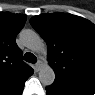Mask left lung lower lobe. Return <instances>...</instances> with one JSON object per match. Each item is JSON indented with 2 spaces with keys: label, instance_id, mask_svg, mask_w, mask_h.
<instances>
[{
  "label": "left lung lower lobe",
  "instance_id": "1",
  "mask_svg": "<svg viewBox=\"0 0 95 95\" xmlns=\"http://www.w3.org/2000/svg\"><path fill=\"white\" fill-rule=\"evenodd\" d=\"M46 93L47 95H93L95 87L73 81H59L46 87Z\"/></svg>",
  "mask_w": 95,
  "mask_h": 95
}]
</instances>
